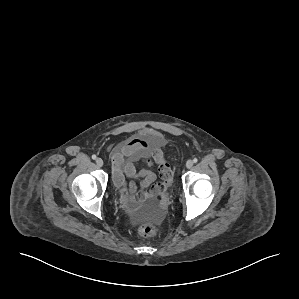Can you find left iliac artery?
<instances>
[{"label": "left iliac artery", "instance_id": "left-iliac-artery-1", "mask_svg": "<svg viewBox=\"0 0 299 299\" xmlns=\"http://www.w3.org/2000/svg\"><path fill=\"white\" fill-rule=\"evenodd\" d=\"M193 162H194V163H197V162H198V159H197V158H194V159H193Z\"/></svg>", "mask_w": 299, "mask_h": 299}]
</instances>
